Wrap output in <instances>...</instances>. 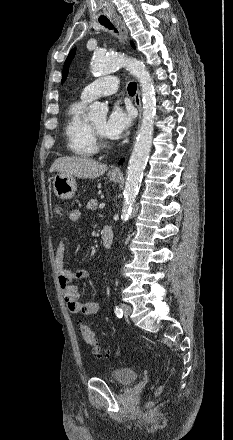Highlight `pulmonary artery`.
<instances>
[{"instance_id":"obj_1","label":"pulmonary artery","mask_w":233,"mask_h":440,"mask_svg":"<svg viewBox=\"0 0 233 440\" xmlns=\"http://www.w3.org/2000/svg\"><path fill=\"white\" fill-rule=\"evenodd\" d=\"M119 88V79L117 76L110 75L98 78L88 84L81 92V100L88 102L100 96L112 95Z\"/></svg>"}]
</instances>
